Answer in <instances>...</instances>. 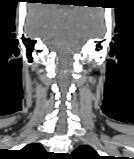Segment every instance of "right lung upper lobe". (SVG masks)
<instances>
[{
    "instance_id": "obj_1",
    "label": "right lung upper lobe",
    "mask_w": 134,
    "mask_h": 159,
    "mask_svg": "<svg viewBox=\"0 0 134 159\" xmlns=\"http://www.w3.org/2000/svg\"><path fill=\"white\" fill-rule=\"evenodd\" d=\"M21 151L30 157H34L33 159H39L38 155L43 153L44 149L39 144L33 143L25 146Z\"/></svg>"
}]
</instances>
